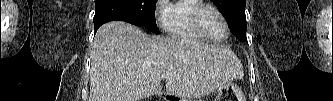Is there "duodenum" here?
Returning a JSON list of instances; mask_svg holds the SVG:
<instances>
[{
    "instance_id": "obj_1",
    "label": "duodenum",
    "mask_w": 333,
    "mask_h": 101,
    "mask_svg": "<svg viewBox=\"0 0 333 101\" xmlns=\"http://www.w3.org/2000/svg\"><path fill=\"white\" fill-rule=\"evenodd\" d=\"M169 98H171L170 96H164V99H169Z\"/></svg>"
}]
</instances>
